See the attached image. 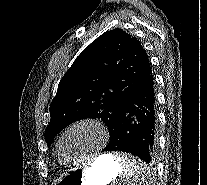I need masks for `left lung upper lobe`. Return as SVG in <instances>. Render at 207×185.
Segmentation results:
<instances>
[{
    "instance_id": "left-lung-upper-lobe-1",
    "label": "left lung upper lobe",
    "mask_w": 207,
    "mask_h": 185,
    "mask_svg": "<svg viewBox=\"0 0 207 185\" xmlns=\"http://www.w3.org/2000/svg\"><path fill=\"white\" fill-rule=\"evenodd\" d=\"M151 72L137 38L121 29L103 33L81 52L61 79L50 104L47 145L69 124L86 118H100L111 134L119 109Z\"/></svg>"
}]
</instances>
